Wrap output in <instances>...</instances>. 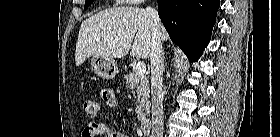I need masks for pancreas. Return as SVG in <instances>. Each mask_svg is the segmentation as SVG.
Instances as JSON below:
<instances>
[{"label":"pancreas","instance_id":"1","mask_svg":"<svg viewBox=\"0 0 280 137\" xmlns=\"http://www.w3.org/2000/svg\"><path fill=\"white\" fill-rule=\"evenodd\" d=\"M126 87L132 90L133 95L137 98L138 105L136 107L138 121H145L146 115L150 108V90L149 82L146 76H140L136 72L124 75Z\"/></svg>","mask_w":280,"mask_h":137}]
</instances>
